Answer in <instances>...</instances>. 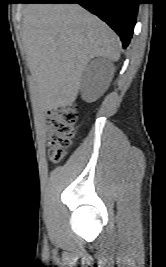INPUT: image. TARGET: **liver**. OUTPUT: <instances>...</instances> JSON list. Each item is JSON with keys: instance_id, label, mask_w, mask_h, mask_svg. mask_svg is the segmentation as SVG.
Segmentation results:
<instances>
[{"instance_id": "6515ba94", "label": "liver", "mask_w": 166, "mask_h": 267, "mask_svg": "<svg viewBox=\"0 0 166 267\" xmlns=\"http://www.w3.org/2000/svg\"><path fill=\"white\" fill-rule=\"evenodd\" d=\"M22 39L42 111L71 105L88 62L98 56L118 61L116 33L78 4H29Z\"/></svg>"}]
</instances>
